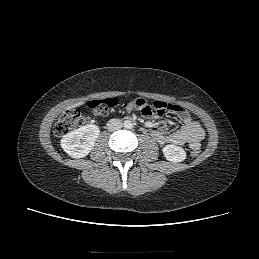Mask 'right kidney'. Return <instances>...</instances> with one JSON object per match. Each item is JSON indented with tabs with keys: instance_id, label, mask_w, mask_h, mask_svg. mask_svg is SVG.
Instances as JSON below:
<instances>
[{
	"instance_id": "1",
	"label": "right kidney",
	"mask_w": 259,
	"mask_h": 259,
	"mask_svg": "<svg viewBox=\"0 0 259 259\" xmlns=\"http://www.w3.org/2000/svg\"><path fill=\"white\" fill-rule=\"evenodd\" d=\"M100 129L95 124L82 126L63 136L61 147L73 158H83L90 153L99 137Z\"/></svg>"
}]
</instances>
